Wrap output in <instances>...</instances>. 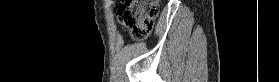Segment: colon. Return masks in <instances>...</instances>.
Returning <instances> with one entry per match:
<instances>
[{
    "instance_id": "colon-1",
    "label": "colon",
    "mask_w": 279,
    "mask_h": 82,
    "mask_svg": "<svg viewBox=\"0 0 279 82\" xmlns=\"http://www.w3.org/2000/svg\"><path fill=\"white\" fill-rule=\"evenodd\" d=\"M158 4V0H124L117 11V20L134 39H143L153 28Z\"/></svg>"
}]
</instances>
